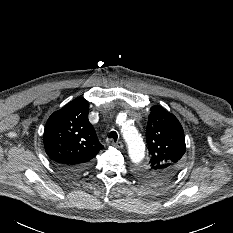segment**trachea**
<instances>
[{
	"label": "trachea",
	"instance_id": "1",
	"mask_svg": "<svg viewBox=\"0 0 233 233\" xmlns=\"http://www.w3.org/2000/svg\"><path fill=\"white\" fill-rule=\"evenodd\" d=\"M108 137L112 138L116 142V140L118 138V134L116 131H111Z\"/></svg>",
	"mask_w": 233,
	"mask_h": 233
}]
</instances>
